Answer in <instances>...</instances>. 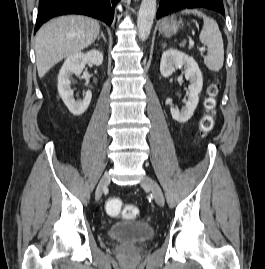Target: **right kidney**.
Returning <instances> with one entry per match:
<instances>
[{"mask_svg": "<svg viewBox=\"0 0 265 269\" xmlns=\"http://www.w3.org/2000/svg\"><path fill=\"white\" fill-rule=\"evenodd\" d=\"M102 62L103 53L95 49L87 53L77 52L65 60L58 75V92L64 104L74 116H80L87 110L92 93L88 90L83 100L75 101L73 90L70 88V76L73 74L80 75L87 63L100 66Z\"/></svg>", "mask_w": 265, "mask_h": 269, "instance_id": "obj_1", "label": "right kidney"}]
</instances>
